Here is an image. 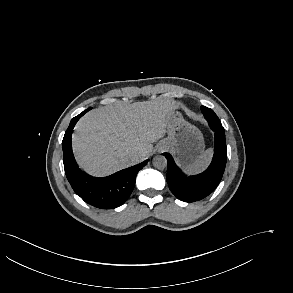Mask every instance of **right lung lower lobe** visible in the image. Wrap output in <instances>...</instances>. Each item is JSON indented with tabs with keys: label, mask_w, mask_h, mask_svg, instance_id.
Here are the masks:
<instances>
[{
	"label": "right lung lower lobe",
	"mask_w": 293,
	"mask_h": 293,
	"mask_svg": "<svg viewBox=\"0 0 293 293\" xmlns=\"http://www.w3.org/2000/svg\"><path fill=\"white\" fill-rule=\"evenodd\" d=\"M90 109L74 117L65 132L62 141L65 174L75 193L85 202L101 209L116 208L129 198L135 185L136 175L148 160L103 178L85 175L74 159L71 140L75 124Z\"/></svg>",
	"instance_id": "obj_1"
}]
</instances>
